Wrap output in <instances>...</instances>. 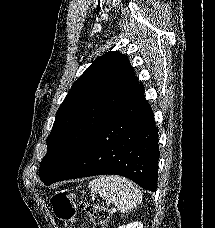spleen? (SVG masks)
I'll return each instance as SVG.
<instances>
[{
	"label": "spleen",
	"mask_w": 215,
	"mask_h": 228,
	"mask_svg": "<svg viewBox=\"0 0 215 228\" xmlns=\"http://www.w3.org/2000/svg\"><path fill=\"white\" fill-rule=\"evenodd\" d=\"M92 192L112 202L119 212H130L142 202V194L133 182L121 176H96L89 184Z\"/></svg>",
	"instance_id": "1"
}]
</instances>
